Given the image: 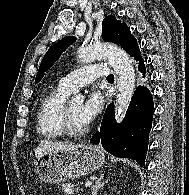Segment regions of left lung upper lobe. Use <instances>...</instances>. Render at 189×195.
Masks as SVG:
<instances>
[{"label": "left lung upper lobe", "mask_w": 189, "mask_h": 195, "mask_svg": "<svg viewBox=\"0 0 189 195\" xmlns=\"http://www.w3.org/2000/svg\"><path fill=\"white\" fill-rule=\"evenodd\" d=\"M102 38L105 41L115 43L121 46L131 57L136 60L141 58L140 50L136 39L131 34L126 23H121L115 16H107L102 22ZM76 40L75 37L70 36L63 38L54 44L45 54L40 69L36 75L35 83H38L43 75L58 58L65 51L69 45Z\"/></svg>", "instance_id": "1"}]
</instances>
